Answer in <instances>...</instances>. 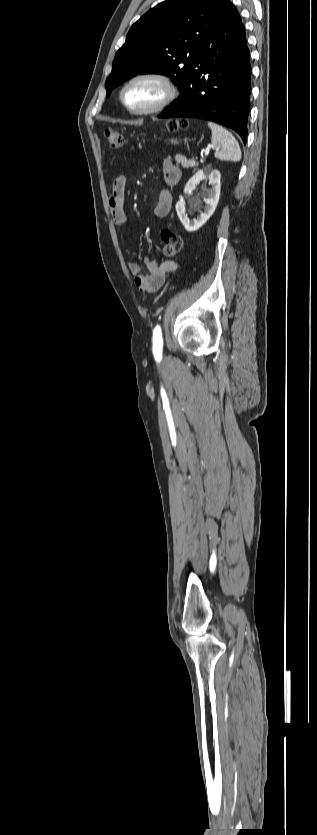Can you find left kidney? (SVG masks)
Returning a JSON list of instances; mask_svg holds the SVG:
<instances>
[{
	"label": "left kidney",
	"instance_id": "5707ae66",
	"mask_svg": "<svg viewBox=\"0 0 317 835\" xmlns=\"http://www.w3.org/2000/svg\"><path fill=\"white\" fill-rule=\"evenodd\" d=\"M220 178L221 174L218 170L205 168L204 170H198L196 174L192 176V178H190V180L187 182L184 188L185 193L192 191L195 188V186H197L203 179L209 180L210 185V188L207 190V193L203 197V201L206 204L204 207V211H201L200 215H198L193 220H190L188 218V215L186 213L185 200L180 199L176 203L177 215L187 231L191 232L198 230L209 220V218L214 213L220 197ZM200 207L201 206L199 204L193 206L194 209H199Z\"/></svg>",
	"mask_w": 317,
	"mask_h": 835
}]
</instances>
